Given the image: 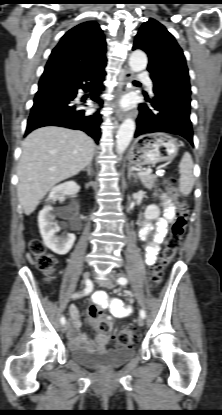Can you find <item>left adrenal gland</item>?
Returning a JSON list of instances; mask_svg holds the SVG:
<instances>
[{
	"label": "left adrenal gland",
	"mask_w": 222,
	"mask_h": 415,
	"mask_svg": "<svg viewBox=\"0 0 222 415\" xmlns=\"http://www.w3.org/2000/svg\"><path fill=\"white\" fill-rule=\"evenodd\" d=\"M131 177H133L135 179V182L137 180V175L136 173L131 169V167L129 166L128 168V178L130 179Z\"/></svg>",
	"instance_id": "1"
}]
</instances>
